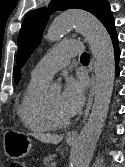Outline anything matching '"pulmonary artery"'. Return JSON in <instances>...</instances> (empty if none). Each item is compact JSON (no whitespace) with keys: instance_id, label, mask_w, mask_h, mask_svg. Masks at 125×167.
<instances>
[{"instance_id":"obj_1","label":"pulmonary artery","mask_w":125,"mask_h":167,"mask_svg":"<svg viewBox=\"0 0 125 167\" xmlns=\"http://www.w3.org/2000/svg\"><path fill=\"white\" fill-rule=\"evenodd\" d=\"M81 50V43L77 40H68L58 44L46 54L32 70V77L48 81L54 73L66 67L72 57Z\"/></svg>"}]
</instances>
